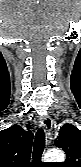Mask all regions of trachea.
<instances>
[{"mask_svg": "<svg viewBox=\"0 0 81 167\" xmlns=\"http://www.w3.org/2000/svg\"><path fill=\"white\" fill-rule=\"evenodd\" d=\"M44 148H45V132L43 128H40L36 132L33 145L32 157L34 162H40Z\"/></svg>", "mask_w": 81, "mask_h": 167, "instance_id": "3493384b", "label": "trachea"}]
</instances>
